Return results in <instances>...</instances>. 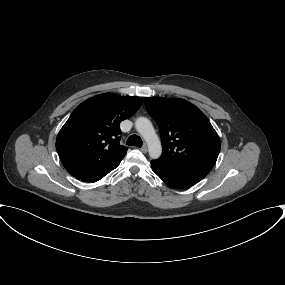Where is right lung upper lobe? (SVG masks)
I'll list each match as a JSON object with an SVG mask.
<instances>
[{
	"label": "right lung upper lobe",
	"instance_id": "right-lung-upper-lobe-1",
	"mask_svg": "<svg viewBox=\"0 0 285 285\" xmlns=\"http://www.w3.org/2000/svg\"><path fill=\"white\" fill-rule=\"evenodd\" d=\"M143 104L136 96L104 93L82 102L56 138V150L66 170L75 177L94 179L115 169L126 155L120 143V122Z\"/></svg>",
	"mask_w": 285,
	"mask_h": 285
}]
</instances>
